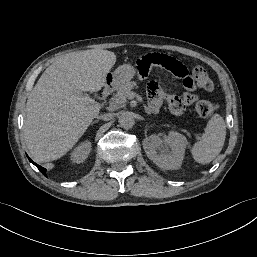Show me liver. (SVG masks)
Instances as JSON below:
<instances>
[{"instance_id": "liver-1", "label": "liver", "mask_w": 257, "mask_h": 257, "mask_svg": "<svg viewBox=\"0 0 257 257\" xmlns=\"http://www.w3.org/2000/svg\"><path fill=\"white\" fill-rule=\"evenodd\" d=\"M116 62L114 52L91 49L68 53L41 75L26 103L24 139L37 162L57 160L78 142L100 104L97 92Z\"/></svg>"}]
</instances>
